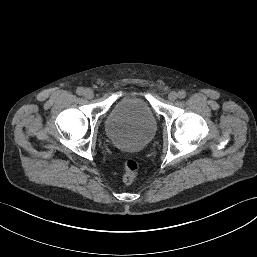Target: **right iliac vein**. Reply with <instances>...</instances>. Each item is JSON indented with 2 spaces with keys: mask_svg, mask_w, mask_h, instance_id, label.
<instances>
[{
  "mask_svg": "<svg viewBox=\"0 0 257 257\" xmlns=\"http://www.w3.org/2000/svg\"><path fill=\"white\" fill-rule=\"evenodd\" d=\"M84 96L87 98V99H92L93 97H94V92H93V90H91V89H86L85 91H84Z\"/></svg>",
  "mask_w": 257,
  "mask_h": 257,
  "instance_id": "right-iliac-vein-1",
  "label": "right iliac vein"
}]
</instances>
